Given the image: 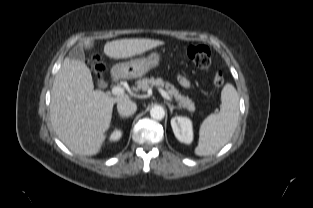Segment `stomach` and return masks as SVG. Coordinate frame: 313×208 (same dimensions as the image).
Segmentation results:
<instances>
[{
  "label": "stomach",
  "mask_w": 313,
  "mask_h": 208,
  "mask_svg": "<svg viewBox=\"0 0 313 208\" xmlns=\"http://www.w3.org/2000/svg\"><path fill=\"white\" fill-rule=\"evenodd\" d=\"M161 56L152 52L146 58L134 59L128 62L116 64L113 67L114 75L122 78H138L144 76L149 70L158 67Z\"/></svg>",
  "instance_id": "stomach-1"
}]
</instances>
